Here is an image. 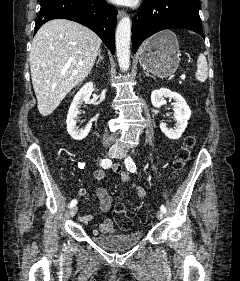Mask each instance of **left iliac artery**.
Segmentation results:
<instances>
[{
	"label": "left iliac artery",
	"instance_id": "obj_1",
	"mask_svg": "<svg viewBox=\"0 0 240 281\" xmlns=\"http://www.w3.org/2000/svg\"><path fill=\"white\" fill-rule=\"evenodd\" d=\"M125 166L127 168V170H129L130 172H135L136 171V164L134 163V161L131 159L130 156H128L126 159H125ZM161 211L163 213H166V207L164 205H162L160 207Z\"/></svg>",
	"mask_w": 240,
	"mask_h": 281
}]
</instances>
